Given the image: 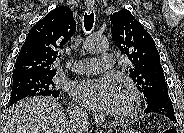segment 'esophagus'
Instances as JSON below:
<instances>
[{
    "mask_svg": "<svg viewBox=\"0 0 184 133\" xmlns=\"http://www.w3.org/2000/svg\"><path fill=\"white\" fill-rule=\"evenodd\" d=\"M85 7H86V10L88 12H90L94 8V1L93 0H86L85 1Z\"/></svg>",
    "mask_w": 184,
    "mask_h": 133,
    "instance_id": "1",
    "label": "esophagus"
}]
</instances>
